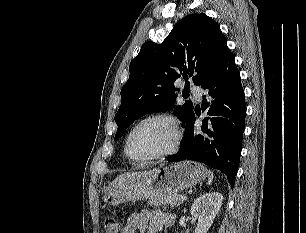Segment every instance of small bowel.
Listing matches in <instances>:
<instances>
[{"instance_id":"obj_1","label":"small bowel","mask_w":306,"mask_h":233,"mask_svg":"<svg viewBox=\"0 0 306 233\" xmlns=\"http://www.w3.org/2000/svg\"><path fill=\"white\" fill-rule=\"evenodd\" d=\"M175 221V215L158 209H143L132 213L124 226L123 233H159L163 227H170Z\"/></svg>"}]
</instances>
